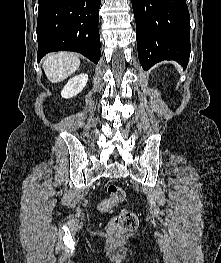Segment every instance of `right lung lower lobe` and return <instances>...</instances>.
Wrapping results in <instances>:
<instances>
[{"label":"right lung lower lobe","mask_w":221,"mask_h":263,"mask_svg":"<svg viewBox=\"0 0 221 263\" xmlns=\"http://www.w3.org/2000/svg\"><path fill=\"white\" fill-rule=\"evenodd\" d=\"M38 3V61L49 52L74 51L97 64L101 0H38Z\"/></svg>","instance_id":"obj_1"}]
</instances>
